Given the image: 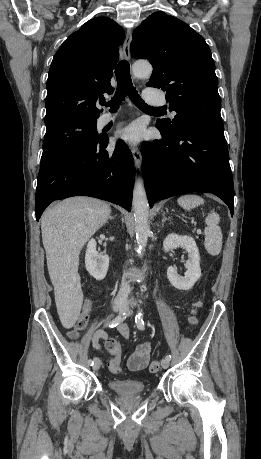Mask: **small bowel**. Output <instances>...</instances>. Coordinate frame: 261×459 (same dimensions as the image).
<instances>
[{"label":"small bowel","mask_w":261,"mask_h":459,"mask_svg":"<svg viewBox=\"0 0 261 459\" xmlns=\"http://www.w3.org/2000/svg\"><path fill=\"white\" fill-rule=\"evenodd\" d=\"M92 304H93L92 299L90 297H87L83 302L81 314L88 316L92 309ZM118 331L125 338L129 337V328L126 324L124 323L120 324L118 326ZM70 336L73 339L78 338L77 331L76 330L71 331ZM107 338H108V334L105 331V329L101 328V329L96 330L92 337L93 347L96 350L103 352L102 347L100 345V340H105ZM150 351H151V346H150V343L148 342H144V343H140L136 345L133 353L130 355L129 360H128L129 369L132 371L144 370L149 362Z\"/></svg>","instance_id":"obj_1"}]
</instances>
